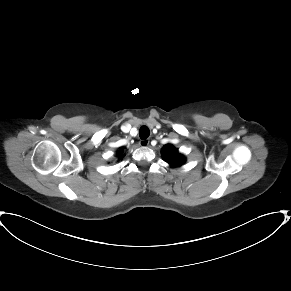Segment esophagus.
<instances>
[{"label": "esophagus", "instance_id": "obj_1", "mask_svg": "<svg viewBox=\"0 0 291 291\" xmlns=\"http://www.w3.org/2000/svg\"><path fill=\"white\" fill-rule=\"evenodd\" d=\"M150 141L148 139L140 140L139 144L142 147H147L149 146Z\"/></svg>", "mask_w": 291, "mask_h": 291}]
</instances>
